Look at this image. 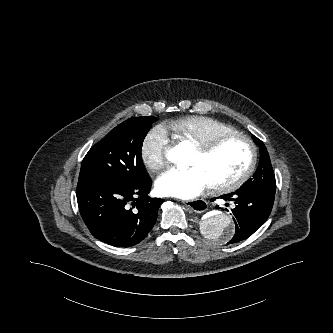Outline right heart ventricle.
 <instances>
[{"label":"right heart ventricle","instance_id":"obj_1","mask_svg":"<svg viewBox=\"0 0 333 333\" xmlns=\"http://www.w3.org/2000/svg\"><path fill=\"white\" fill-rule=\"evenodd\" d=\"M172 136L193 145L206 142L216 136L236 133L231 126L205 116H186L171 120L166 125Z\"/></svg>","mask_w":333,"mask_h":333}]
</instances>
